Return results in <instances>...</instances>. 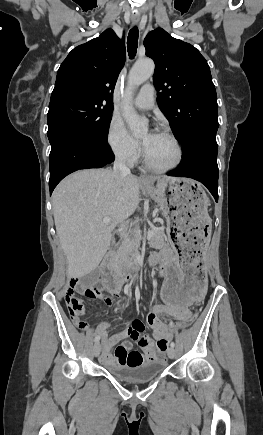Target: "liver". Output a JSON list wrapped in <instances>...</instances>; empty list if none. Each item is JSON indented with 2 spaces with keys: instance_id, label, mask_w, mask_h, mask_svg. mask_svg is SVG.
Returning <instances> with one entry per match:
<instances>
[{
  "instance_id": "liver-1",
  "label": "liver",
  "mask_w": 263,
  "mask_h": 435,
  "mask_svg": "<svg viewBox=\"0 0 263 435\" xmlns=\"http://www.w3.org/2000/svg\"><path fill=\"white\" fill-rule=\"evenodd\" d=\"M140 186L132 175L118 182L108 169L81 170L58 184L52 206L68 278H81L97 268L109 249L113 228L138 207ZM104 218L111 221L103 223Z\"/></svg>"
}]
</instances>
